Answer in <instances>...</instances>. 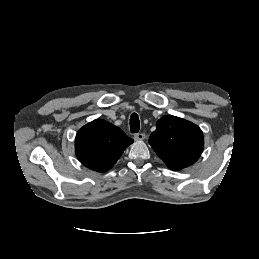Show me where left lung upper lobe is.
I'll return each instance as SVG.
<instances>
[{
    "label": "left lung upper lobe",
    "instance_id": "obj_1",
    "mask_svg": "<svg viewBox=\"0 0 259 259\" xmlns=\"http://www.w3.org/2000/svg\"><path fill=\"white\" fill-rule=\"evenodd\" d=\"M149 144L170 169L180 170L198 160L203 151L204 138L197 125L169 115L157 121Z\"/></svg>",
    "mask_w": 259,
    "mask_h": 259
}]
</instances>
